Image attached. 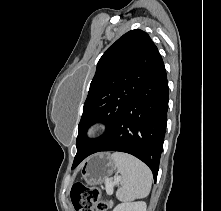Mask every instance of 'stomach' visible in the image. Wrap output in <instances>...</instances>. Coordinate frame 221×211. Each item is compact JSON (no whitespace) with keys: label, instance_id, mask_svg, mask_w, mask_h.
<instances>
[{"label":"stomach","instance_id":"1","mask_svg":"<svg viewBox=\"0 0 221 211\" xmlns=\"http://www.w3.org/2000/svg\"><path fill=\"white\" fill-rule=\"evenodd\" d=\"M115 169L111 156L99 153L89 157L81 167V176L89 185H99L106 180Z\"/></svg>","mask_w":221,"mask_h":211}]
</instances>
